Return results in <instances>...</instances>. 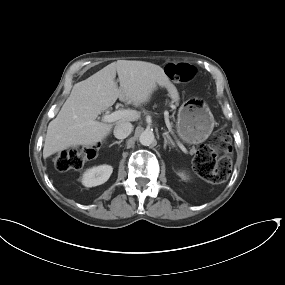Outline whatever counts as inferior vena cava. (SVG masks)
Returning <instances> with one entry per match:
<instances>
[{
  "mask_svg": "<svg viewBox=\"0 0 285 285\" xmlns=\"http://www.w3.org/2000/svg\"><path fill=\"white\" fill-rule=\"evenodd\" d=\"M133 126L130 122H120L114 128V136L117 139H125L130 135Z\"/></svg>",
  "mask_w": 285,
  "mask_h": 285,
  "instance_id": "1",
  "label": "inferior vena cava"
}]
</instances>
